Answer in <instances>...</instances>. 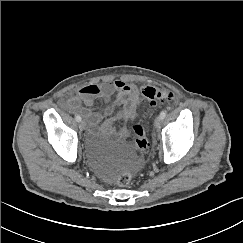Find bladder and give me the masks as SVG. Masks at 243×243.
I'll return each instance as SVG.
<instances>
[{"label":"bladder","mask_w":243,"mask_h":243,"mask_svg":"<svg viewBox=\"0 0 243 243\" xmlns=\"http://www.w3.org/2000/svg\"><path fill=\"white\" fill-rule=\"evenodd\" d=\"M111 137V128H106L102 125L90 134L89 142L94 146L105 145L110 141ZM118 163L123 167L124 171H128L130 168H137L139 166V159L131 150L125 148L118 153Z\"/></svg>","instance_id":"bladder-1"}]
</instances>
